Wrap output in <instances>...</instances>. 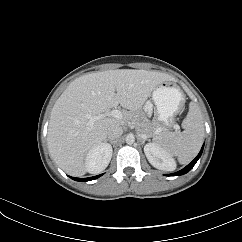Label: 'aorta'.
<instances>
[{
  "label": "aorta",
  "mask_w": 242,
  "mask_h": 242,
  "mask_svg": "<svg viewBox=\"0 0 242 242\" xmlns=\"http://www.w3.org/2000/svg\"><path fill=\"white\" fill-rule=\"evenodd\" d=\"M127 144L131 145L135 142V137L133 134H128L125 138Z\"/></svg>",
  "instance_id": "obj_1"
}]
</instances>
